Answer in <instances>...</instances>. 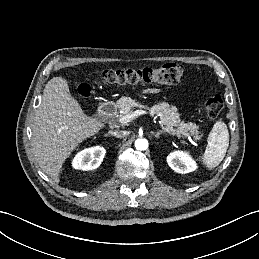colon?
Listing matches in <instances>:
<instances>
[{"label":"colon","mask_w":259,"mask_h":259,"mask_svg":"<svg viewBox=\"0 0 259 259\" xmlns=\"http://www.w3.org/2000/svg\"><path fill=\"white\" fill-rule=\"evenodd\" d=\"M99 76L107 83L118 85H137L159 83L175 85L182 81L184 75L183 67L178 63H166L156 68L142 69H104L99 71ZM78 92L82 97L90 95V87L80 84ZM223 108V99L220 95L209 97L204 102V109L210 118L219 115Z\"/></svg>","instance_id":"obj_1"}]
</instances>
